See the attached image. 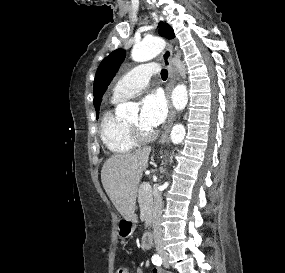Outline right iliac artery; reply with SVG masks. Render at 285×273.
Listing matches in <instances>:
<instances>
[{"label":"right iliac artery","mask_w":285,"mask_h":273,"mask_svg":"<svg viewBox=\"0 0 285 273\" xmlns=\"http://www.w3.org/2000/svg\"><path fill=\"white\" fill-rule=\"evenodd\" d=\"M152 263L157 266H161L162 258L159 255L152 256Z\"/></svg>","instance_id":"obj_1"}]
</instances>
